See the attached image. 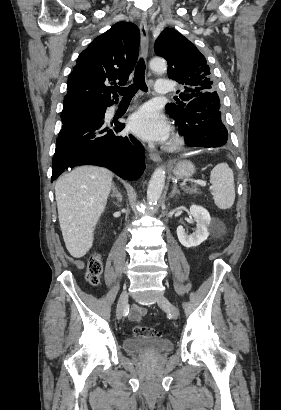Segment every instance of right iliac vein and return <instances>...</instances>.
Here are the masks:
<instances>
[{
  "mask_svg": "<svg viewBox=\"0 0 281 410\" xmlns=\"http://www.w3.org/2000/svg\"><path fill=\"white\" fill-rule=\"evenodd\" d=\"M127 303H128V293L127 291H123L122 294L120 295L118 305H117V310H116V315L119 320L122 318L125 312Z\"/></svg>",
  "mask_w": 281,
  "mask_h": 410,
  "instance_id": "1",
  "label": "right iliac vein"
}]
</instances>
